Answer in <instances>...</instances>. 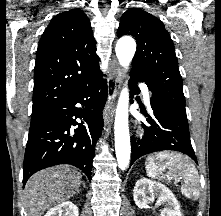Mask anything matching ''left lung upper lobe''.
Wrapping results in <instances>:
<instances>
[{"mask_svg":"<svg viewBox=\"0 0 221 216\" xmlns=\"http://www.w3.org/2000/svg\"><path fill=\"white\" fill-rule=\"evenodd\" d=\"M117 35H131L137 42L131 72L139 73L154 96L187 120L174 44L164 24L146 11L131 8L122 15Z\"/></svg>","mask_w":221,"mask_h":216,"instance_id":"obj_1","label":"left lung upper lobe"}]
</instances>
